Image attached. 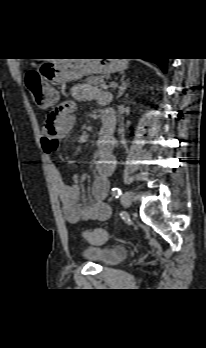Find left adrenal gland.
<instances>
[{"mask_svg": "<svg viewBox=\"0 0 206 348\" xmlns=\"http://www.w3.org/2000/svg\"><path fill=\"white\" fill-rule=\"evenodd\" d=\"M127 86H128V80L125 81V75H123L121 78V86L119 87V93L117 95V98H120L124 94Z\"/></svg>", "mask_w": 206, "mask_h": 348, "instance_id": "obj_1", "label": "left adrenal gland"}]
</instances>
